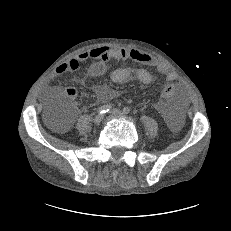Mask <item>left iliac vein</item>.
I'll use <instances>...</instances> for the list:
<instances>
[{
	"label": "left iliac vein",
	"instance_id": "left-iliac-vein-1",
	"mask_svg": "<svg viewBox=\"0 0 231 231\" xmlns=\"http://www.w3.org/2000/svg\"><path fill=\"white\" fill-rule=\"evenodd\" d=\"M111 113H112V115H114V116H120V117L123 116V113H122L119 109H113V110L111 111Z\"/></svg>",
	"mask_w": 231,
	"mask_h": 231
}]
</instances>
